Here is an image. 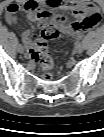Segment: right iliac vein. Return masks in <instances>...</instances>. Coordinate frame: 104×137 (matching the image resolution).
Here are the masks:
<instances>
[{
	"label": "right iliac vein",
	"instance_id": "obj_1",
	"mask_svg": "<svg viewBox=\"0 0 104 137\" xmlns=\"http://www.w3.org/2000/svg\"><path fill=\"white\" fill-rule=\"evenodd\" d=\"M17 50H18L19 53H23L24 52V49H23V47L21 45H18Z\"/></svg>",
	"mask_w": 104,
	"mask_h": 137
}]
</instances>
